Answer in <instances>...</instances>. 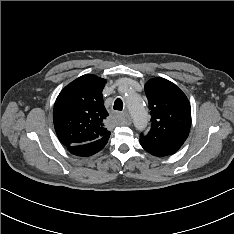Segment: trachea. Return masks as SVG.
Instances as JSON below:
<instances>
[{
  "instance_id": "3493384b",
  "label": "trachea",
  "mask_w": 234,
  "mask_h": 234,
  "mask_svg": "<svg viewBox=\"0 0 234 234\" xmlns=\"http://www.w3.org/2000/svg\"><path fill=\"white\" fill-rule=\"evenodd\" d=\"M113 109L114 110L122 111V109H123V102H122L121 99L118 98V99L115 100Z\"/></svg>"
}]
</instances>
